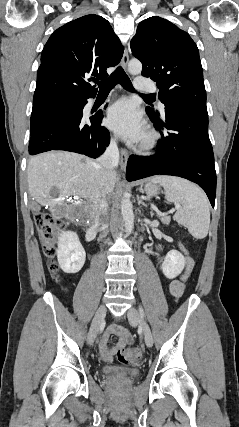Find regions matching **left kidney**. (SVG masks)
Masks as SVG:
<instances>
[{
  "instance_id": "obj_1",
  "label": "left kidney",
  "mask_w": 239,
  "mask_h": 427,
  "mask_svg": "<svg viewBox=\"0 0 239 427\" xmlns=\"http://www.w3.org/2000/svg\"><path fill=\"white\" fill-rule=\"evenodd\" d=\"M184 266V256L177 250H171L167 253L162 263V271L168 279H173L182 272Z\"/></svg>"
}]
</instances>
